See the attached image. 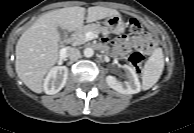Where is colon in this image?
Masks as SVG:
<instances>
[{
	"instance_id": "obj_1",
	"label": "colon",
	"mask_w": 194,
	"mask_h": 133,
	"mask_svg": "<svg viewBox=\"0 0 194 133\" xmlns=\"http://www.w3.org/2000/svg\"><path fill=\"white\" fill-rule=\"evenodd\" d=\"M129 26L133 33H141L143 31L142 24L135 18L130 19ZM125 59L136 70L137 73H141L144 55L140 52V49L127 53L125 55Z\"/></svg>"
}]
</instances>
